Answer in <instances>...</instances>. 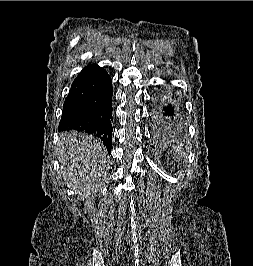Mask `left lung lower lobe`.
<instances>
[{
  "mask_svg": "<svg viewBox=\"0 0 253 266\" xmlns=\"http://www.w3.org/2000/svg\"><path fill=\"white\" fill-rule=\"evenodd\" d=\"M178 118V111L173 101L163 99L162 105L154 116V122L157 127L167 130L175 126Z\"/></svg>",
  "mask_w": 253,
  "mask_h": 266,
  "instance_id": "0a47b994",
  "label": "left lung lower lobe"
}]
</instances>
